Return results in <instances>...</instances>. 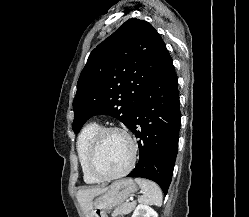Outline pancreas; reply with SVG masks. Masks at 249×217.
Instances as JSON below:
<instances>
[{
    "mask_svg": "<svg viewBox=\"0 0 249 217\" xmlns=\"http://www.w3.org/2000/svg\"><path fill=\"white\" fill-rule=\"evenodd\" d=\"M135 206H136V202L123 203L120 206L115 208L113 212V217H116L118 215H127L132 212Z\"/></svg>",
    "mask_w": 249,
    "mask_h": 217,
    "instance_id": "obj_1",
    "label": "pancreas"
}]
</instances>
